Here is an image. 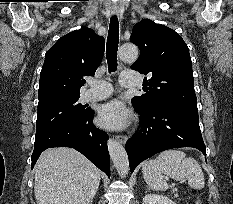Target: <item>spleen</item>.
Wrapping results in <instances>:
<instances>
[{"label": "spleen", "instance_id": "obj_1", "mask_svg": "<svg viewBox=\"0 0 233 204\" xmlns=\"http://www.w3.org/2000/svg\"><path fill=\"white\" fill-rule=\"evenodd\" d=\"M142 174L147 185L156 191H166L168 183L163 174L175 180H187L191 188L201 190L205 181L199 163L180 150H167L159 154L156 159L146 161L142 167Z\"/></svg>", "mask_w": 233, "mask_h": 204}]
</instances>
